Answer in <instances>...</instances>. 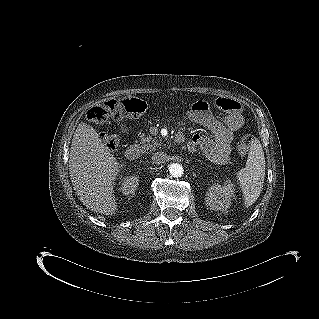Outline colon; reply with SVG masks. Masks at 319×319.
I'll return each mask as SVG.
<instances>
[{
  "instance_id": "colon-1",
  "label": "colon",
  "mask_w": 319,
  "mask_h": 319,
  "mask_svg": "<svg viewBox=\"0 0 319 319\" xmlns=\"http://www.w3.org/2000/svg\"><path fill=\"white\" fill-rule=\"evenodd\" d=\"M216 106L224 111L238 112L241 109V104L233 99L218 98ZM146 110V103L136 98H122L119 100H109L104 103L95 105L87 111V119L94 124H102L109 118L120 120L123 116H138ZM126 129L122 128L121 133ZM121 133L104 134L103 141L108 149H115L120 143ZM253 138L245 136L238 144L237 151L240 155L245 154L251 144Z\"/></svg>"
}]
</instances>
